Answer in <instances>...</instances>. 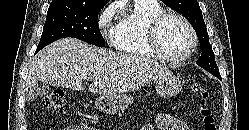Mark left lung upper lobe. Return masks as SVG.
Instances as JSON below:
<instances>
[{
    "mask_svg": "<svg viewBox=\"0 0 249 130\" xmlns=\"http://www.w3.org/2000/svg\"><path fill=\"white\" fill-rule=\"evenodd\" d=\"M162 2L173 10L181 13L193 26L202 51L196 64L221 79L219 69L215 62V56L209 43L202 11L197 0H162Z\"/></svg>",
    "mask_w": 249,
    "mask_h": 130,
    "instance_id": "5c2ea615",
    "label": "left lung upper lobe"
}]
</instances>
